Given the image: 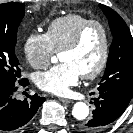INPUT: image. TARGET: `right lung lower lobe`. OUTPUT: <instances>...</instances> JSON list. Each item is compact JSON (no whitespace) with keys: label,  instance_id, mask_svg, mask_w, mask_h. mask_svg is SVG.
<instances>
[{"label":"right lung lower lobe","instance_id":"98d812e1","mask_svg":"<svg viewBox=\"0 0 133 133\" xmlns=\"http://www.w3.org/2000/svg\"><path fill=\"white\" fill-rule=\"evenodd\" d=\"M19 84L27 86L29 81L25 78ZM16 87L0 90V131H18L26 127L38 108L45 101L44 97L37 94L24 100L15 97Z\"/></svg>","mask_w":133,"mask_h":133}]
</instances>
